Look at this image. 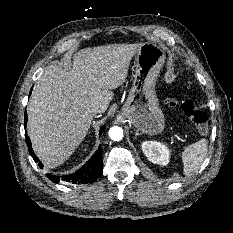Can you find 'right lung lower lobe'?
<instances>
[{
  "label": "right lung lower lobe",
  "mask_w": 233,
  "mask_h": 233,
  "mask_svg": "<svg viewBox=\"0 0 233 233\" xmlns=\"http://www.w3.org/2000/svg\"><path fill=\"white\" fill-rule=\"evenodd\" d=\"M31 94V92H30ZM27 123V113L25 112L24 116V125L26 127ZM105 130V127H102L99 135L101 136L102 132ZM25 138H26V143L28 145L29 152L34 159L35 162H39V159L33 152L32 146H31V141L25 133ZM39 166H42V163L39 162ZM103 172L102 168V150L101 147L99 146L98 150L95 152V154L92 156V158L78 171H76L74 174H70L67 176L59 177V176H54L51 174H47V177L55 182L58 183L60 179L65 180L67 182H71L73 184H87V183H93L98 177L101 176Z\"/></svg>",
  "instance_id": "1"
}]
</instances>
